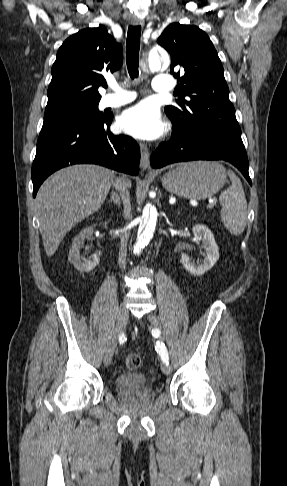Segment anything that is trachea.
Wrapping results in <instances>:
<instances>
[{
	"mask_svg": "<svg viewBox=\"0 0 287 486\" xmlns=\"http://www.w3.org/2000/svg\"><path fill=\"white\" fill-rule=\"evenodd\" d=\"M141 26H131L127 33L126 63L130 78L133 80L139 74V50H140Z\"/></svg>",
	"mask_w": 287,
	"mask_h": 486,
	"instance_id": "trachea-1",
	"label": "trachea"
}]
</instances>
